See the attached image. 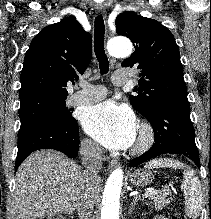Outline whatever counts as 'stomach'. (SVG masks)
<instances>
[{
  "mask_svg": "<svg viewBox=\"0 0 211 219\" xmlns=\"http://www.w3.org/2000/svg\"><path fill=\"white\" fill-rule=\"evenodd\" d=\"M153 174L148 170H135L129 175L130 184L136 187L146 186L153 181Z\"/></svg>",
  "mask_w": 211,
  "mask_h": 219,
  "instance_id": "obj_1",
  "label": "stomach"
}]
</instances>
